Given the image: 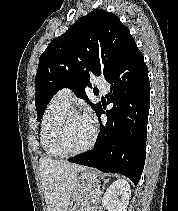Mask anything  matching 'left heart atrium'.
<instances>
[{"instance_id": "obj_1", "label": "left heart atrium", "mask_w": 178, "mask_h": 211, "mask_svg": "<svg viewBox=\"0 0 178 211\" xmlns=\"http://www.w3.org/2000/svg\"><path fill=\"white\" fill-rule=\"evenodd\" d=\"M87 119L90 121V118L89 117H87Z\"/></svg>"}]
</instances>
